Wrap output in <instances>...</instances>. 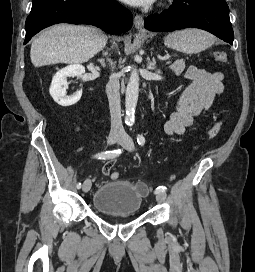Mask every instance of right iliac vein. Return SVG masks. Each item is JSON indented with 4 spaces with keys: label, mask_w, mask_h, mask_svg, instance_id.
Segmentation results:
<instances>
[{
    "label": "right iliac vein",
    "mask_w": 255,
    "mask_h": 272,
    "mask_svg": "<svg viewBox=\"0 0 255 272\" xmlns=\"http://www.w3.org/2000/svg\"><path fill=\"white\" fill-rule=\"evenodd\" d=\"M121 139H122V137H121L120 135L110 134V135L108 136L107 143H108L109 145H112V144H114V143H116V142H119V143H120ZM91 185H92L91 180H90V179H86V180L84 181V183H83L82 190H83L84 192H88V191L90 190V188H91Z\"/></svg>",
    "instance_id": "63e3f726"
}]
</instances>
